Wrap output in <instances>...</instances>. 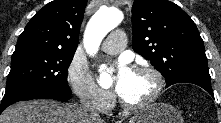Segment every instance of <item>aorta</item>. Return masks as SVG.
Returning <instances> with one entry per match:
<instances>
[{
  "mask_svg": "<svg viewBox=\"0 0 221 123\" xmlns=\"http://www.w3.org/2000/svg\"><path fill=\"white\" fill-rule=\"evenodd\" d=\"M123 20V13L115 8H101L90 19L84 33V45L90 55H94L104 37ZM112 83L109 73L103 72L99 77L101 86Z\"/></svg>",
  "mask_w": 221,
  "mask_h": 123,
  "instance_id": "762f6f07",
  "label": "aorta"
}]
</instances>
